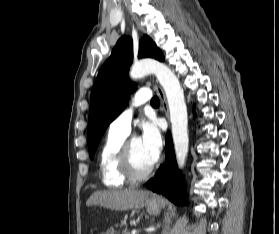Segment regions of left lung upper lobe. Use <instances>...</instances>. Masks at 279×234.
<instances>
[{
  "mask_svg": "<svg viewBox=\"0 0 279 234\" xmlns=\"http://www.w3.org/2000/svg\"><path fill=\"white\" fill-rule=\"evenodd\" d=\"M151 57L164 61V55L151 38L145 35L139 44L138 58ZM133 61V42L120 38L98 73L91 91L88 120V147L92 159L108 125L124 110L130 92L136 89L128 77Z\"/></svg>",
  "mask_w": 279,
  "mask_h": 234,
  "instance_id": "left-lung-upper-lobe-1",
  "label": "left lung upper lobe"
}]
</instances>
